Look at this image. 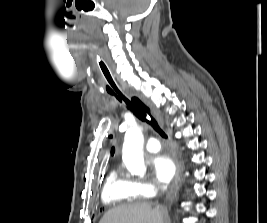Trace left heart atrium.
Wrapping results in <instances>:
<instances>
[{
  "label": "left heart atrium",
  "instance_id": "1",
  "mask_svg": "<svg viewBox=\"0 0 267 223\" xmlns=\"http://www.w3.org/2000/svg\"><path fill=\"white\" fill-rule=\"evenodd\" d=\"M152 170L158 182L166 183L175 174L176 163L171 156L159 154L152 159Z\"/></svg>",
  "mask_w": 267,
  "mask_h": 223
}]
</instances>
